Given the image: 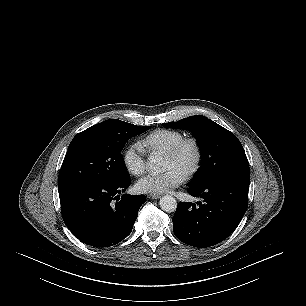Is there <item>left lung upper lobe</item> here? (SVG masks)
<instances>
[{
    "label": "left lung upper lobe",
    "instance_id": "5c2ea615",
    "mask_svg": "<svg viewBox=\"0 0 306 306\" xmlns=\"http://www.w3.org/2000/svg\"><path fill=\"white\" fill-rule=\"evenodd\" d=\"M170 128L189 129L202 153L201 166L190 186L226 176H250L244 149L238 138L214 121L198 115L163 124Z\"/></svg>",
    "mask_w": 306,
    "mask_h": 306
}]
</instances>
